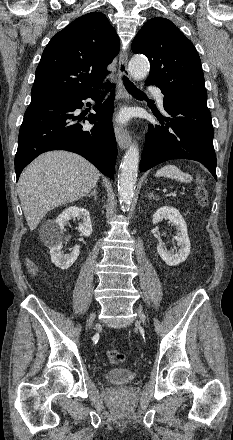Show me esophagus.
<instances>
[{"instance_id":"obj_1","label":"esophagus","mask_w":233,"mask_h":440,"mask_svg":"<svg viewBox=\"0 0 233 440\" xmlns=\"http://www.w3.org/2000/svg\"><path fill=\"white\" fill-rule=\"evenodd\" d=\"M127 62H128L127 52H125V51L121 52L120 57H119V73L122 76V78L124 76L129 77ZM118 89H119V93H120L122 100L124 102H131V98L125 89L123 81L119 82ZM115 136H116L117 143L121 149H125L126 147H128V145L130 144L131 138H130V134L127 129L116 125L115 126Z\"/></svg>"}]
</instances>
